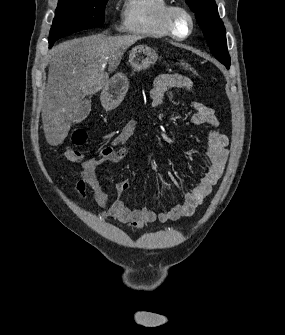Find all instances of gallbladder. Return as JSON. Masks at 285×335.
<instances>
[{
	"label": "gallbladder",
	"mask_w": 285,
	"mask_h": 335,
	"mask_svg": "<svg viewBox=\"0 0 285 335\" xmlns=\"http://www.w3.org/2000/svg\"><path fill=\"white\" fill-rule=\"evenodd\" d=\"M91 112V102L90 100H83V102H80L77 106V110L74 114V122L78 124V122H83L87 116H89Z\"/></svg>",
	"instance_id": "obj_1"
}]
</instances>
